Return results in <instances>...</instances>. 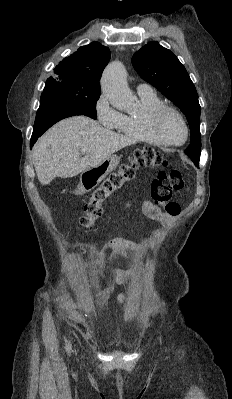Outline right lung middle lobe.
Returning a JSON list of instances; mask_svg holds the SVG:
<instances>
[{"mask_svg": "<svg viewBox=\"0 0 232 399\" xmlns=\"http://www.w3.org/2000/svg\"><path fill=\"white\" fill-rule=\"evenodd\" d=\"M100 91H90L78 87L68 86L57 81H46L41 101H58L72 106L96 119V102Z\"/></svg>", "mask_w": 232, "mask_h": 399, "instance_id": "obj_1", "label": "right lung middle lobe"}]
</instances>
